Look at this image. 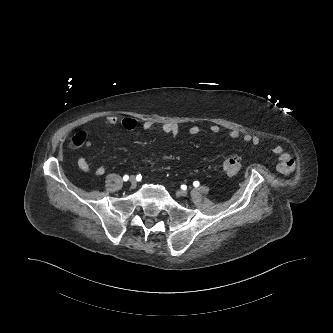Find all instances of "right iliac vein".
Returning a JSON list of instances; mask_svg holds the SVG:
<instances>
[{
    "label": "right iliac vein",
    "mask_w": 333,
    "mask_h": 333,
    "mask_svg": "<svg viewBox=\"0 0 333 333\" xmlns=\"http://www.w3.org/2000/svg\"><path fill=\"white\" fill-rule=\"evenodd\" d=\"M129 182L131 183L132 186H136V184H137V180L134 176H131L129 178Z\"/></svg>",
    "instance_id": "1"
}]
</instances>
